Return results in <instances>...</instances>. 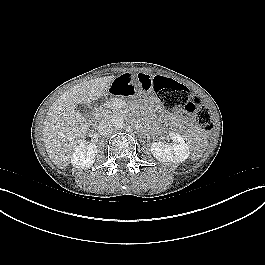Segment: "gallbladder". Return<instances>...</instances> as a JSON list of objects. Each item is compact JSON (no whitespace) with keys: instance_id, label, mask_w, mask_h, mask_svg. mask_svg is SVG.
Returning <instances> with one entry per match:
<instances>
[{"instance_id":"obj_1","label":"gallbladder","mask_w":265,"mask_h":265,"mask_svg":"<svg viewBox=\"0 0 265 265\" xmlns=\"http://www.w3.org/2000/svg\"><path fill=\"white\" fill-rule=\"evenodd\" d=\"M78 112H80L88 120L94 115V111L84 104H80L78 106Z\"/></svg>"}]
</instances>
